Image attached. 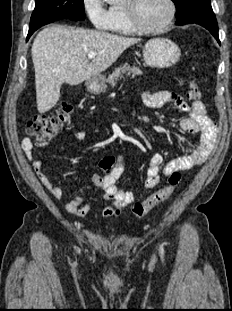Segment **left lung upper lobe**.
I'll return each instance as SVG.
<instances>
[{"mask_svg":"<svg viewBox=\"0 0 232 311\" xmlns=\"http://www.w3.org/2000/svg\"><path fill=\"white\" fill-rule=\"evenodd\" d=\"M176 6V17L204 0H172Z\"/></svg>","mask_w":232,"mask_h":311,"instance_id":"obj_1","label":"left lung upper lobe"}]
</instances>
